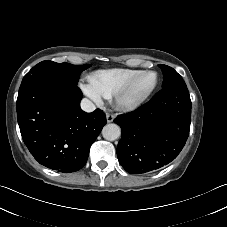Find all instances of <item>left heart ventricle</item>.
<instances>
[{
    "instance_id": "left-heart-ventricle-1",
    "label": "left heart ventricle",
    "mask_w": 227,
    "mask_h": 227,
    "mask_svg": "<svg viewBox=\"0 0 227 227\" xmlns=\"http://www.w3.org/2000/svg\"><path fill=\"white\" fill-rule=\"evenodd\" d=\"M155 81L154 74H146L143 75L135 84L134 88L132 89L128 99L135 100L144 95L150 87L153 85Z\"/></svg>"
}]
</instances>
